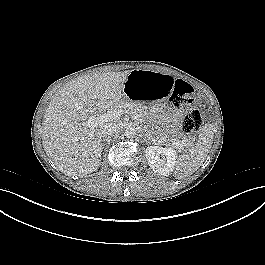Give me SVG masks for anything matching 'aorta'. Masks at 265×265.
<instances>
[{
    "mask_svg": "<svg viewBox=\"0 0 265 265\" xmlns=\"http://www.w3.org/2000/svg\"><path fill=\"white\" fill-rule=\"evenodd\" d=\"M124 135L127 138H134L136 135V130L133 127H126V129L124 131Z\"/></svg>",
    "mask_w": 265,
    "mask_h": 265,
    "instance_id": "aorta-1",
    "label": "aorta"
}]
</instances>
